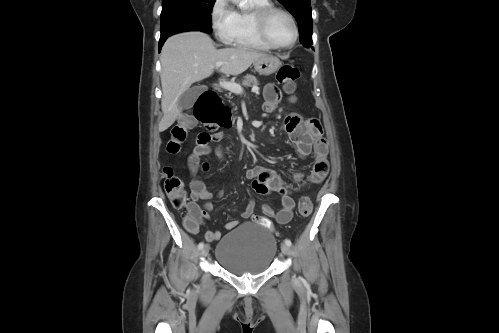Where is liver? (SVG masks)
I'll list each match as a JSON object with an SVG mask.
<instances>
[{"instance_id":"liver-1","label":"liver","mask_w":499,"mask_h":333,"mask_svg":"<svg viewBox=\"0 0 499 333\" xmlns=\"http://www.w3.org/2000/svg\"><path fill=\"white\" fill-rule=\"evenodd\" d=\"M267 54L244 47L216 49L205 33L192 31L175 34L167 39L161 52V108L163 117L158 130L168 129L181 114L180 96L195 83L211 76L217 62L220 72L239 75L257 59Z\"/></svg>"}]
</instances>
